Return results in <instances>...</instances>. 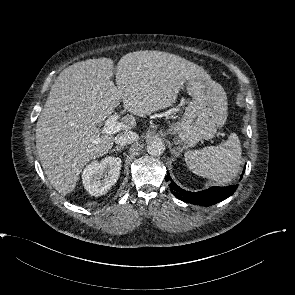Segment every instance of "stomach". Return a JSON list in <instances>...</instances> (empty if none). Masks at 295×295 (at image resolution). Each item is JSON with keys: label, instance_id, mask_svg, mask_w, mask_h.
<instances>
[{"label": "stomach", "instance_id": "stomach-1", "mask_svg": "<svg viewBox=\"0 0 295 295\" xmlns=\"http://www.w3.org/2000/svg\"><path fill=\"white\" fill-rule=\"evenodd\" d=\"M187 92L192 100L182 119L168 130L175 142L185 148L213 138L227 117L226 93L218 83L210 78L188 81Z\"/></svg>", "mask_w": 295, "mask_h": 295}]
</instances>
